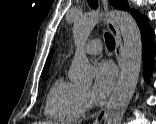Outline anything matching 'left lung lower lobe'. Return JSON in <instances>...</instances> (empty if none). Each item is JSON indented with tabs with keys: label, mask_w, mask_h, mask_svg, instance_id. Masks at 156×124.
<instances>
[{
	"label": "left lung lower lobe",
	"mask_w": 156,
	"mask_h": 124,
	"mask_svg": "<svg viewBox=\"0 0 156 124\" xmlns=\"http://www.w3.org/2000/svg\"><path fill=\"white\" fill-rule=\"evenodd\" d=\"M132 14L137 20L142 34L144 78L148 80L154 67V55L156 53L155 44L152 40L153 30L148 26L145 16H141L135 11Z\"/></svg>",
	"instance_id": "obj_1"
}]
</instances>
